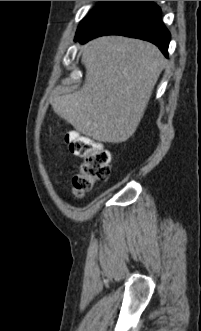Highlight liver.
Segmentation results:
<instances>
[{
    "instance_id": "liver-1",
    "label": "liver",
    "mask_w": 201,
    "mask_h": 331,
    "mask_svg": "<svg viewBox=\"0 0 201 331\" xmlns=\"http://www.w3.org/2000/svg\"><path fill=\"white\" fill-rule=\"evenodd\" d=\"M85 82L54 97V112L78 132L99 142L121 143L136 131L165 58L150 42L104 36L83 46Z\"/></svg>"
}]
</instances>
